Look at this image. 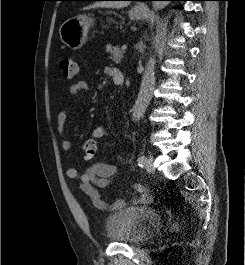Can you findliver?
<instances>
[{
    "label": "liver",
    "mask_w": 245,
    "mask_h": 265,
    "mask_svg": "<svg viewBox=\"0 0 245 265\" xmlns=\"http://www.w3.org/2000/svg\"><path fill=\"white\" fill-rule=\"evenodd\" d=\"M129 3L127 1H103L96 2L84 9L96 8V7H106V8H123L128 6Z\"/></svg>",
    "instance_id": "6515ba94"
}]
</instances>
